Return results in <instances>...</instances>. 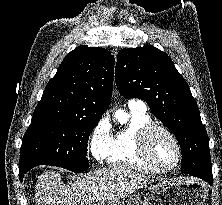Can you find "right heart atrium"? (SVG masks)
I'll list each match as a JSON object with an SVG mask.
<instances>
[{
	"mask_svg": "<svg viewBox=\"0 0 222 205\" xmlns=\"http://www.w3.org/2000/svg\"><path fill=\"white\" fill-rule=\"evenodd\" d=\"M111 142V133L108 122L102 119L92 131L90 149L95 159L101 160L106 157Z\"/></svg>",
	"mask_w": 222,
	"mask_h": 205,
	"instance_id": "1",
	"label": "right heart atrium"
}]
</instances>
